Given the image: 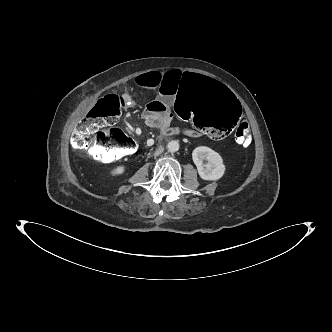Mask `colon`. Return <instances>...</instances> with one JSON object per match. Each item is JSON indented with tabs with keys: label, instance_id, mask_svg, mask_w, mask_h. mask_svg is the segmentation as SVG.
<instances>
[{
	"label": "colon",
	"instance_id": "obj_1",
	"mask_svg": "<svg viewBox=\"0 0 332 332\" xmlns=\"http://www.w3.org/2000/svg\"><path fill=\"white\" fill-rule=\"evenodd\" d=\"M127 103L125 97L114 94L98 100L77 125L72 147L102 163L118 159L117 151L122 154L132 151L136 141L124 131L103 130L114 124ZM173 109L182 123L194 126L208 139L223 141L234 135L237 145L250 144L251 130L246 121H241L240 103L208 75L192 73L183 77L175 90Z\"/></svg>",
	"mask_w": 332,
	"mask_h": 332
}]
</instances>
